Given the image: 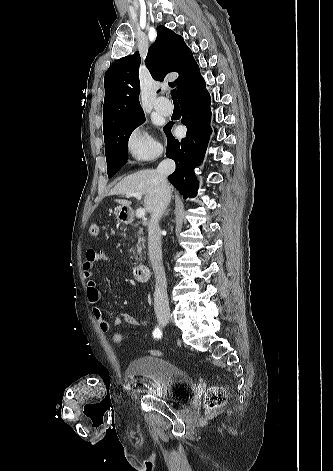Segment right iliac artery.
Instances as JSON below:
<instances>
[{
    "instance_id": "1",
    "label": "right iliac artery",
    "mask_w": 333,
    "mask_h": 471,
    "mask_svg": "<svg viewBox=\"0 0 333 471\" xmlns=\"http://www.w3.org/2000/svg\"><path fill=\"white\" fill-rule=\"evenodd\" d=\"M161 336H162L161 329L159 327H156L153 331V337L158 339V338H161Z\"/></svg>"
}]
</instances>
